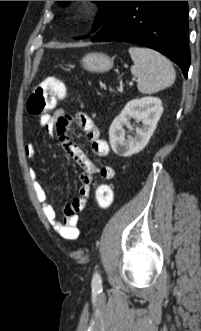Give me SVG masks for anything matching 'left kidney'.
I'll use <instances>...</instances> for the list:
<instances>
[{
  "instance_id": "5707ae66",
  "label": "left kidney",
  "mask_w": 201,
  "mask_h": 331,
  "mask_svg": "<svg viewBox=\"0 0 201 331\" xmlns=\"http://www.w3.org/2000/svg\"><path fill=\"white\" fill-rule=\"evenodd\" d=\"M163 112L162 102L156 97H143L129 101L109 128L110 145L114 153L129 157L140 152L148 144ZM142 121L135 137H125L124 127H131L130 119Z\"/></svg>"
}]
</instances>
